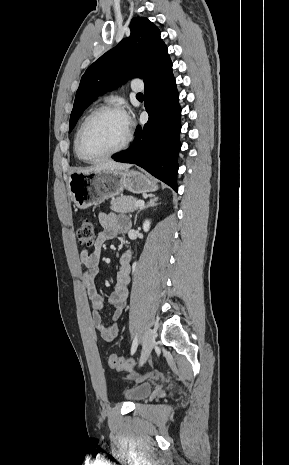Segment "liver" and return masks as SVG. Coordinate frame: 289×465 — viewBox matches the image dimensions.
I'll list each match as a JSON object with an SVG mask.
<instances>
[{
    "instance_id": "obj_1",
    "label": "liver",
    "mask_w": 289,
    "mask_h": 465,
    "mask_svg": "<svg viewBox=\"0 0 289 465\" xmlns=\"http://www.w3.org/2000/svg\"><path fill=\"white\" fill-rule=\"evenodd\" d=\"M131 166H132L131 164H127V163H119V162H115L113 160H106V161H103L102 163H100L98 165H95L93 167H89L87 169L80 170L78 172L88 173V172L106 171V170L120 171V170L129 169Z\"/></svg>"
}]
</instances>
